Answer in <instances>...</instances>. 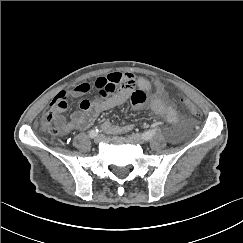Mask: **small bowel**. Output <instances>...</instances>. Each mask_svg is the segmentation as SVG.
I'll return each mask as SVG.
<instances>
[{"label":"small bowel","mask_w":243,"mask_h":243,"mask_svg":"<svg viewBox=\"0 0 243 243\" xmlns=\"http://www.w3.org/2000/svg\"><path fill=\"white\" fill-rule=\"evenodd\" d=\"M135 84L136 79L130 73H111L106 76H100L93 82H81L67 91V93H58L57 95L63 93L66 96L82 97L95 89L98 94L95 98L83 99L79 104V110L71 115L70 121H66L65 118L60 115V112L64 111L67 107L66 101L58 100L55 104H51V107L54 108L57 113L55 124L60 129L61 133H68L74 128L86 130L101 114L123 105L129 99L132 105L137 107L145 102L148 94L142 89H137L131 93ZM154 88L156 95H159L161 93L160 85L155 83ZM164 115L170 122L174 123L177 121V114L171 107H166L164 109ZM102 128L107 132L118 133L130 131L133 129V126L130 124L112 126L109 122H104Z\"/></svg>","instance_id":"small-bowel-1"}]
</instances>
